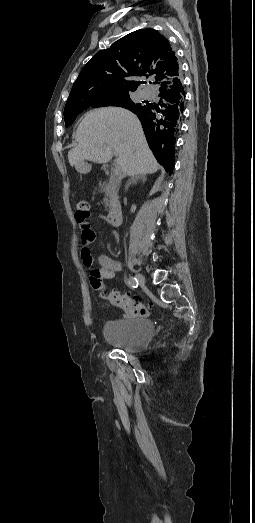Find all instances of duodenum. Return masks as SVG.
I'll return each mask as SVG.
<instances>
[{"mask_svg": "<svg viewBox=\"0 0 255 523\" xmlns=\"http://www.w3.org/2000/svg\"><path fill=\"white\" fill-rule=\"evenodd\" d=\"M107 222L114 227H118L122 222V210L119 205H114L107 215Z\"/></svg>", "mask_w": 255, "mask_h": 523, "instance_id": "obj_1", "label": "duodenum"}]
</instances>
